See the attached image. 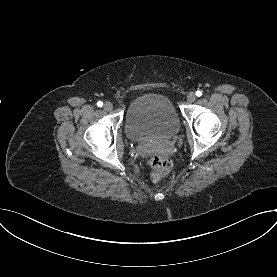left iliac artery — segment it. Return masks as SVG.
<instances>
[{
	"label": "left iliac artery",
	"instance_id": "left-iliac-artery-1",
	"mask_svg": "<svg viewBox=\"0 0 277 277\" xmlns=\"http://www.w3.org/2000/svg\"><path fill=\"white\" fill-rule=\"evenodd\" d=\"M196 95L198 96V97H200L201 95H202V92L201 91H196Z\"/></svg>",
	"mask_w": 277,
	"mask_h": 277
}]
</instances>
